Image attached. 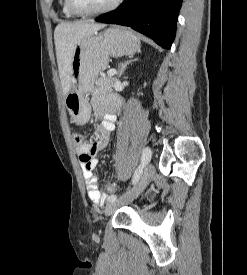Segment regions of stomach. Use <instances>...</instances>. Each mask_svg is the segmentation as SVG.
Listing matches in <instances>:
<instances>
[{
  "label": "stomach",
  "mask_w": 247,
  "mask_h": 275,
  "mask_svg": "<svg viewBox=\"0 0 247 275\" xmlns=\"http://www.w3.org/2000/svg\"><path fill=\"white\" fill-rule=\"evenodd\" d=\"M139 49V39L120 27H110L76 43L71 63V89L65 97L66 108L74 122L83 125L89 121L91 111L85 95L93 89L99 72L108 67L109 56L133 55Z\"/></svg>",
  "instance_id": "obj_1"
}]
</instances>
